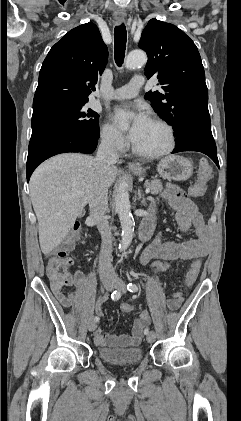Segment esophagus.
Returning <instances> with one entry per match:
<instances>
[{
	"instance_id": "34e87169",
	"label": "esophagus",
	"mask_w": 241,
	"mask_h": 421,
	"mask_svg": "<svg viewBox=\"0 0 241 421\" xmlns=\"http://www.w3.org/2000/svg\"><path fill=\"white\" fill-rule=\"evenodd\" d=\"M115 20H116L117 24H121L124 21V18L123 17H116ZM128 167L130 169H135V168H137V165L133 162H129Z\"/></svg>"
}]
</instances>
